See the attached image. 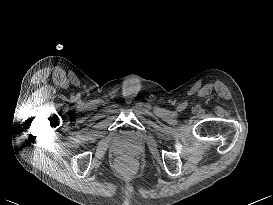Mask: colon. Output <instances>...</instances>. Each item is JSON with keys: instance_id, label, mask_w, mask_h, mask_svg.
Returning a JSON list of instances; mask_svg holds the SVG:
<instances>
[{"instance_id": "colon-1", "label": "colon", "mask_w": 273, "mask_h": 205, "mask_svg": "<svg viewBox=\"0 0 273 205\" xmlns=\"http://www.w3.org/2000/svg\"><path fill=\"white\" fill-rule=\"evenodd\" d=\"M118 167L121 171L127 172L130 170V162L128 159H121L118 162Z\"/></svg>"}]
</instances>
